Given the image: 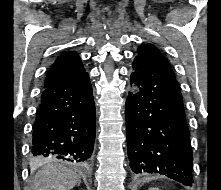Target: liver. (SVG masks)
<instances>
[{
  "instance_id": "6515ba94",
  "label": "liver",
  "mask_w": 221,
  "mask_h": 190,
  "mask_svg": "<svg viewBox=\"0 0 221 190\" xmlns=\"http://www.w3.org/2000/svg\"><path fill=\"white\" fill-rule=\"evenodd\" d=\"M79 182V175L72 170L60 165L47 164L42 165L36 173L31 190H71Z\"/></svg>"
}]
</instances>
